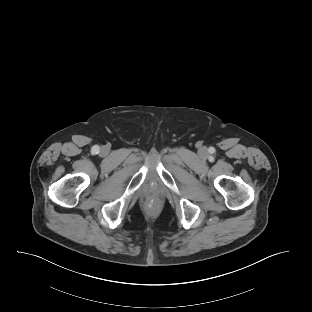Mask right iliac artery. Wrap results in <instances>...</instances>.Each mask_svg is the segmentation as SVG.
<instances>
[{
	"instance_id": "1",
	"label": "right iliac artery",
	"mask_w": 312,
	"mask_h": 312,
	"mask_svg": "<svg viewBox=\"0 0 312 312\" xmlns=\"http://www.w3.org/2000/svg\"><path fill=\"white\" fill-rule=\"evenodd\" d=\"M92 151H93L94 153H98V152H99V147H98V146H94L93 149H92Z\"/></svg>"
}]
</instances>
